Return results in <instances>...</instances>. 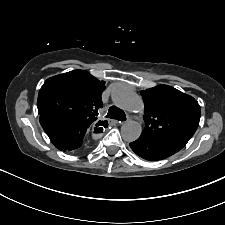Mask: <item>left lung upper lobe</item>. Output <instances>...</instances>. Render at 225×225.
<instances>
[{
	"mask_svg": "<svg viewBox=\"0 0 225 225\" xmlns=\"http://www.w3.org/2000/svg\"><path fill=\"white\" fill-rule=\"evenodd\" d=\"M143 134L159 138L190 140L200 121V106L190 95L167 85L142 90Z\"/></svg>",
	"mask_w": 225,
	"mask_h": 225,
	"instance_id": "1",
	"label": "left lung upper lobe"
}]
</instances>
